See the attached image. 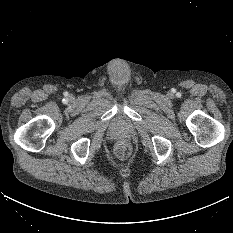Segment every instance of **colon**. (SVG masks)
<instances>
[{"mask_svg": "<svg viewBox=\"0 0 233 233\" xmlns=\"http://www.w3.org/2000/svg\"><path fill=\"white\" fill-rule=\"evenodd\" d=\"M115 151L119 158H126L129 156L131 151L130 145L124 140L119 141L116 145Z\"/></svg>", "mask_w": 233, "mask_h": 233, "instance_id": "1", "label": "colon"}]
</instances>
